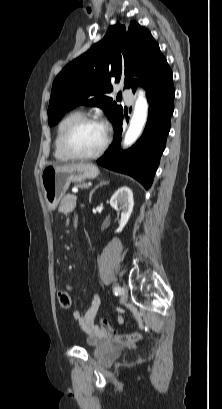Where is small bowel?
<instances>
[{"label":"small bowel","instance_id":"small-bowel-1","mask_svg":"<svg viewBox=\"0 0 222 409\" xmlns=\"http://www.w3.org/2000/svg\"><path fill=\"white\" fill-rule=\"evenodd\" d=\"M76 197L73 194L66 195L58 206V211L63 214L70 213L76 209ZM74 292L77 290L75 287L72 289ZM100 299L97 295H93L91 303L84 315L79 310L73 312V318L79 323L80 327L88 334L87 342L90 345H97L106 343L108 338L106 333L94 323L95 314L99 308ZM119 322L122 319L118 318Z\"/></svg>","mask_w":222,"mask_h":409}]
</instances>
